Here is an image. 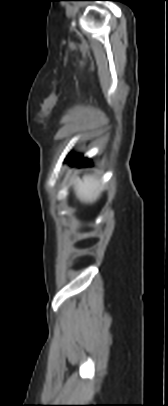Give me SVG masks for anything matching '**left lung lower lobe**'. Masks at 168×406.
Wrapping results in <instances>:
<instances>
[{"label": "left lung lower lobe", "instance_id": "1", "mask_svg": "<svg viewBox=\"0 0 168 406\" xmlns=\"http://www.w3.org/2000/svg\"><path fill=\"white\" fill-rule=\"evenodd\" d=\"M65 161L70 162L72 165L86 166L91 164V160L82 158V156H72L71 158H66Z\"/></svg>", "mask_w": 168, "mask_h": 406}]
</instances>
